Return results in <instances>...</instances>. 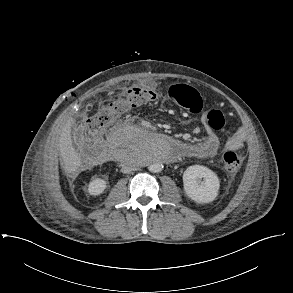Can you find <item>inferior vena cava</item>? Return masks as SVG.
<instances>
[{
  "instance_id": "inferior-vena-cava-1",
  "label": "inferior vena cava",
  "mask_w": 293,
  "mask_h": 293,
  "mask_svg": "<svg viewBox=\"0 0 293 293\" xmlns=\"http://www.w3.org/2000/svg\"><path fill=\"white\" fill-rule=\"evenodd\" d=\"M135 167L133 165H123L121 168L122 173H129L133 171Z\"/></svg>"
}]
</instances>
